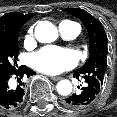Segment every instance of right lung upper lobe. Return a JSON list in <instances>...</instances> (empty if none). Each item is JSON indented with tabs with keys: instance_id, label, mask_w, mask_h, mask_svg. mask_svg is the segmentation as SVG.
I'll return each mask as SVG.
<instances>
[{
	"instance_id": "right-lung-upper-lobe-1",
	"label": "right lung upper lobe",
	"mask_w": 117,
	"mask_h": 117,
	"mask_svg": "<svg viewBox=\"0 0 117 117\" xmlns=\"http://www.w3.org/2000/svg\"><path fill=\"white\" fill-rule=\"evenodd\" d=\"M34 16L31 14H20L17 12H11L0 17V34H17L20 27Z\"/></svg>"
}]
</instances>
